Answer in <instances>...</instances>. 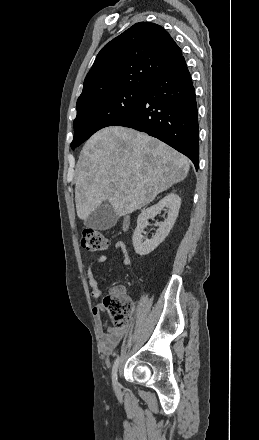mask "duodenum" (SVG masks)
<instances>
[{"mask_svg":"<svg viewBox=\"0 0 259 440\" xmlns=\"http://www.w3.org/2000/svg\"><path fill=\"white\" fill-rule=\"evenodd\" d=\"M129 223H130L129 218H128V217L125 218L124 223H123V227H124V229H127V228L129 227Z\"/></svg>","mask_w":259,"mask_h":440,"instance_id":"duodenum-1","label":"duodenum"}]
</instances>
